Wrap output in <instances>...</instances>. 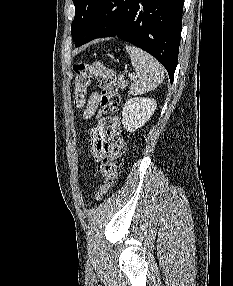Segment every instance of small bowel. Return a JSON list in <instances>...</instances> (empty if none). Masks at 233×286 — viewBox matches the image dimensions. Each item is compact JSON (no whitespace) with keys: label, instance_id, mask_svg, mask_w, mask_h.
<instances>
[{"label":"small bowel","instance_id":"c3829d8e","mask_svg":"<svg viewBox=\"0 0 233 286\" xmlns=\"http://www.w3.org/2000/svg\"><path fill=\"white\" fill-rule=\"evenodd\" d=\"M100 95L94 92L90 95L86 108L83 112L85 120L96 117V125L89 130L90 152L94 160L102 161L105 155L104 143L106 141V128L104 119L99 110Z\"/></svg>","mask_w":233,"mask_h":286}]
</instances>
